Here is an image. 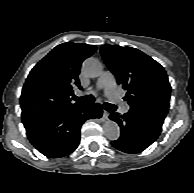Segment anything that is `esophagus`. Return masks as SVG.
Returning <instances> with one entry per match:
<instances>
[{"label":"esophagus","instance_id":"obj_1","mask_svg":"<svg viewBox=\"0 0 194 193\" xmlns=\"http://www.w3.org/2000/svg\"><path fill=\"white\" fill-rule=\"evenodd\" d=\"M108 118H109V112L104 110V112H103V119L104 120H108Z\"/></svg>","mask_w":194,"mask_h":193}]
</instances>
